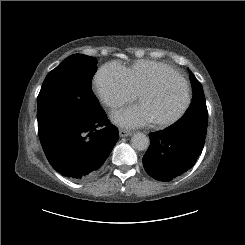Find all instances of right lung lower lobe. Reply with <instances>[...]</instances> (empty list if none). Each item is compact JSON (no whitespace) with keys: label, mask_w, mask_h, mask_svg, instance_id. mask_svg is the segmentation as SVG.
<instances>
[{"label":"right lung lower lobe","mask_w":245,"mask_h":245,"mask_svg":"<svg viewBox=\"0 0 245 245\" xmlns=\"http://www.w3.org/2000/svg\"><path fill=\"white\" fill-rule=\"evenodd\" d=\"M39 136L53 168L75 181L95 178L119 138L117 128L103 111L87 120L58 125Z\"/></svg>","instance_id":"right-lung-lower-lobe-1"}]
</instances>
